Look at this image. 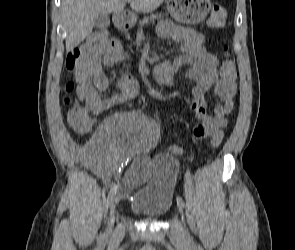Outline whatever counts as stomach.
<instances>
[{
    "instance_id": "obj_1",
    "label": "stomach",
    "mask_w": 295,
    "mask_h": 250,
    "mask_svg": "<svg viewBox=\"0 0 295 250\" xmlns=\"http://www.w3.org/2000/svg\"><path fill=\"white\" fill-rule=\"evenodd\" d=\"M211 9L210 0H167V10L177 21L194 24L203 21ZM135 16H131L127 26H133Z\"/></svg>"
}]
</instances>
